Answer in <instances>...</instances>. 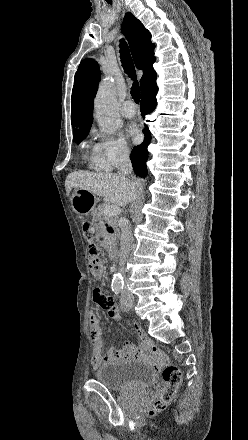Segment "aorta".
<instances>
[{
    "label": "aorta",
    "mask_w": 248,
    "mask_h": 440,
    "mask_svg": "<svg viewBox=\"0 0 248 440\" xmlns=\"http://www.w3.org/2000/svg\"><path fill=\"white\" fill-rule=\"evenodd\" d=\"M95 117L100 128L106 132L115 133L121 124L117 110L116 91L110 82L102 83L95 98ZM123 279L120 272H116L112 279V288H121Z\"/></svg>",
    "instance_id": "762f6f07"
}]
</instances>
